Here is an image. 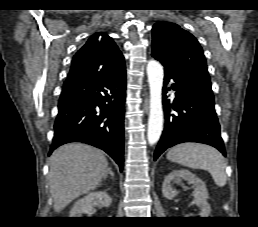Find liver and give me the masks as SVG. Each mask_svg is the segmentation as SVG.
<instances>
[{"instance_id":"obj_1","label":"liver","mask_w":258,"mask_h":227,"mask_svg":"<svg viewBox=\"0 0 258 227\" xmlns=\"http://www.w3.org/2000/svg\"><path fill=\"white\" fill-rule=\"evenodd\" d=\"M103 153L86 144L70 143L56 149L49 159V189L55 212L94 190L108 173Z\"/></svg>"}]
</instances>
